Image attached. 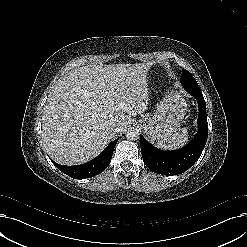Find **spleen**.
<instances>
[{
	"label": "spleen",
	"mask_w": 247,
	"mask_h": 247,
	"mask_svg": "<svg viewBox=\"0 0 247 247\" xmlns=\"http://www.w3.org/2000/svg\"><path fill=\"white\" fill-rule=\"evenodd\" d=\"M188 141V129L182 128L181 131L161 139L157 142V146L164 150H176L186 145Z\"/></svg>",
	"instance_id": "1"
}]
</instances>
